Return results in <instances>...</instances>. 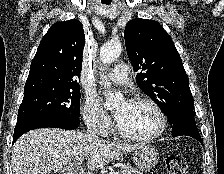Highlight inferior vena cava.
<instances>
[{"mask_svg":"<svg viewBox=\"0 0 224 174\" xmlns=\"http://www.w3.org/2000/svg\"><path fill=\"white\" fill-rule=\"evenodd\" d=\"M87 133L94 139H97V140L100 139L97 135V130L92 126L87 127Z\"/></svg>","mask_w":224,"mask_h":174,"instance_id":"602c4592","label":"inferior vena cava"}]
</instances>
